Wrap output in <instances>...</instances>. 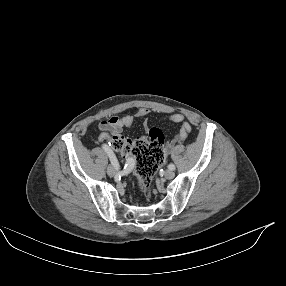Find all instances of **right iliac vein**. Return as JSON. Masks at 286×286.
Wrapping results in <instances>:
<instances>
[{"mask_svg": "<svg viewBox=\"0 0 286 286\" xmlns=\"http://www.w3.org/2000/svg\"><path fill=\"white\" fill-rule=\"evenodd\" d=\"M116 173H117V168H116V167H114V166H108V168H107V174H108L109 176H115Z\"/></svg>", "mask_w": 286, "mask_h": 286, "instance_id": "right-iliac-vein-1", "label": "right iliac vein"}]
</instances>
